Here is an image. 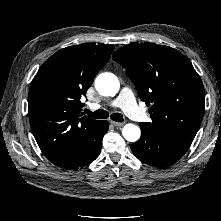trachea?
Listing matches in <instances>:
<instances>
[{"mask_svg": "<svg viewBox=\"0 0 221 221\" xmlns=\"http://www.w3.org/2000/svg\"><path fill=\"white\" fill-rule=\"evenodd\" d=\"M84 111L86 114L95 119H106L109 117V113L105 110H97L95 112H91L90 110L85 109ZM110 118L116 122L123 121V115L121 113H113L110 115Z\"/></svg>", "mask_w": 221, "mask_h": 221, "instance_id": "1", "label": "trachea"}]
</instances>
